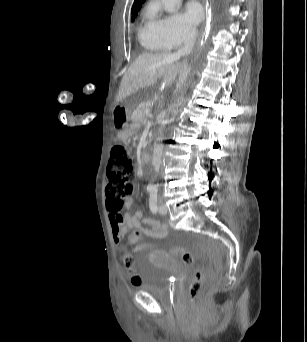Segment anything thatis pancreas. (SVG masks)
Returning <instances> with one entry per match:
<instances>
[{"mask_svg":"<svg viewBox=\"0 0 307 342\" xmlns=\"http://www.w3.org/2000/svg\"><path fill=\"white\" fill-rule=\"evenodd\" d=\"M152 106L153 104L151 100H148V102H141V104H139V107L135 109V114H134L135 119H142L143 117L142 112H145V110H150Z\"/></svg>","mask_w":307,"mask_h":342,"instance_id":"1","label":"pancreas"}]
</instances>
